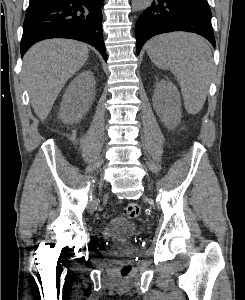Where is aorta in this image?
I'll return each instance as SVG.
<instances>
[{
    "label": "aorta",
    "mask_w": 245,
    "mask_h": 300,
    "mask_svg": "<svg viewBox=\"0 0 245 300\" xmlns=\"http://www.w3.org/2000/svg\"><path fill=\"white\" fill-rule=\"evenodd\" d=\"M153 0H132V8L134 11H141L147 8Z\"/></svg>",
    "instance_id": "obj_1"
}]
</instances>
